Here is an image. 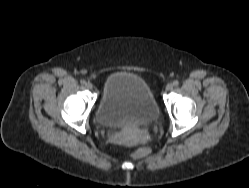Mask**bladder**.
Masks as SVG:
<instances>
[{
	"label": "bladder",
	"instance_id": "1",
	"mask_svg": "<svg viewBox=\"0 0 249 188\" xmlns=\"http://www.w3.org/2000/svg\"><path fill=\"white\" fill-rule=\"evenodd\" d=\"M160 116L153 91L143 78L129 72H114L104 82L96 111L100 125L121 128L149 125Z\"/></svg>",
	"mask_w": 249,
	"mask_h": 188
}]
</instances>
